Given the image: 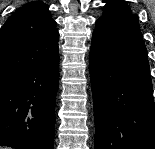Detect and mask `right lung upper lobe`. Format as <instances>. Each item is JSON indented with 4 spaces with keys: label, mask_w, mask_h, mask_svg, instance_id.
Segmentation results:
<instances>
[{
    "label": "right lung upper lobe",
    "mask_w": 155,
    "mask_h": 149,
    "mask_svg": "<svg viewBox=\"0 0 155 149\" xmlns=\"http://www.w3.org/2000/svg\"><path fill=\"white\" fill-rule=\"evenodd\" d=\"M42 1L18 8L0 31V76L9 77L59 56V33Z\"/></svg>",
    "instance_id": "right-lung-upper-lobe-1"
}]
</instances>
